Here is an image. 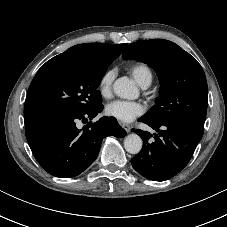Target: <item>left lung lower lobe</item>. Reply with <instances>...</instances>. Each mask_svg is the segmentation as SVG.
I'll return each instance as SVG.
<instances>
[{
    "label": "left lung lower lobe",
    "instance_id": "0a47b994",
    "mask_svg": "<svg viewBox=\"0 0 227 227\" xmlns=\"http://www.w3.org/2000/svg\"><path fill=\"white\" fill-rule=\"evenodd\" d=\"M139 121L157 131L152 135L137 130L143 140L141 152L131 159L133 168L147 179L165 181L178 174L190 161L203 135L202 128L185 121L153 123Z\"/></svg>",
    "mask_w": 227,
    "mask_h": 227
}]
</instances>
